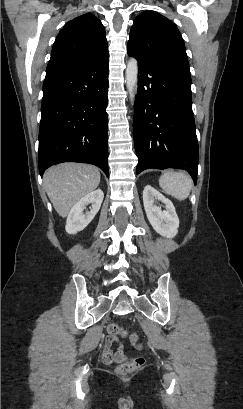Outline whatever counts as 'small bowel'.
I'll use <instances>...</instances> for the list:
<instances>
[{
    "label": "small bowel",
    "instance_id": "obj_1",
    "mask_svg": "<svg viewBox=\"0 0 243 409\" xmlns=\"http://www.w3.org/2000/svg\"><path fill=\"white\" fill-rule=\"evenodd\" d=\"M119 344L120 339L118 336L109 332L101 349L102 361L105 364L110 365L126 359L125 352ZM115 346L117 347L115 348Z\"/></svg>",
    "mask_w": 243,
    "mask_h": 409
}]
</instances>
